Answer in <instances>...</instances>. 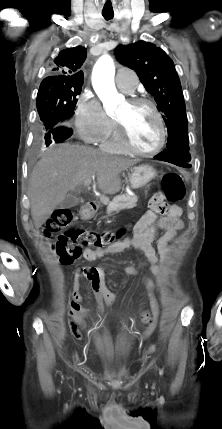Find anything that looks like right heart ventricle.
Segmentation results:
<instances>
[{
    "label": "right heart ventricle",
    "mask_w": 222,
    "mask_h": 429,
    "mask_svg": "<svg viewBox=\"0 0 222 429\" xmlns=\"http://www.w3.org/2000/svg\"><path fill=\"white\" fill-rule=\"evenodd\" d=\"M101 148L110 153H122L125 151L119 136L118 130L114 128L110 135L101 142Z\"/></svg>",
    "instance_id": "e07e8e85"
}]
</instances>
